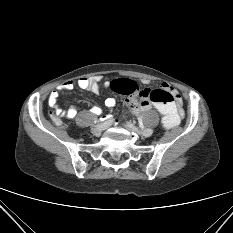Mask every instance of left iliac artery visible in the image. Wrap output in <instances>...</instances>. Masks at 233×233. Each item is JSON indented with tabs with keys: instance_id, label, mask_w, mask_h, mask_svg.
Segmentation results:
<instances>
[{
	"instance_id": "obj_1",
	"label": "left iliac artery",
	"mask_w": 233,
	"mask_h": 233,
	"mask_svg": "<svg viewBox=\"0 0 233 233\" xmlns=\"http://www.w3.org/2000/svg\"><path fill=\"white\" fill-rule=\"evenodd\" d=\"M144 129V128H143ZM145 137H150V135H153V130L147 129L142 133Z\"/></svg>"
}]
</instances>
